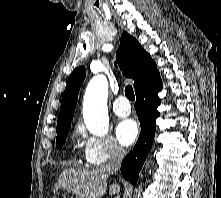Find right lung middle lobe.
I'll use <instances>...</instances> for the list:
<instances>
[{"label":"right lung middle lobe","mask_w":221,"mask_h":198,"mask_svg":"<svg viewBox=\"0 0 221 198\" xmlns=\"http://www.w3.org/2000/svg\"><path fill=\"white\" fill-rule=\"evenodd\" d=\"M69 129H70V127H66V128H63V129L57 131V137H56V148L57 149L62 148L63 144L66 141Z\"/></svg>","instance_id":"1"}]
</instances>
